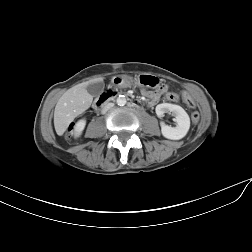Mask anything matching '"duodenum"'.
<instances>
[{
	"instance_id": "duodenum-1",
	"label": "duodenum",
	"mask_w": 252,
	"mask_h": 252,
	"mask_svg": "<svg viewBox=\"0 0 252 252\" xmlns=\"http://www.w3.org/2000/svg\"><path fill=\"white\" fill-rule=\"evenodd\" d=\"M117 94V92L115 91H111L110 93H105L102 94L96 101L95 103V108L96 110H102L107 103L109 102V100L113 97H115V95ZM129 102L130 104L135 107V108H141L142 104L140 102H138L137 100L129 97Z\"/></svg>"
}]
</instances>
